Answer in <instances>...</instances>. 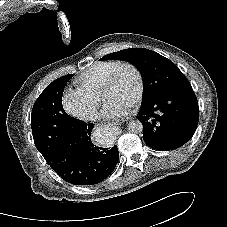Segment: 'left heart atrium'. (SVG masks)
<instances>
[{"mask_svg":"<svg viewBox=\"0 0 227 227\" xmlns=\"http://www.w3.org/2000/svg\"><path fill=\"white\" fill-rule=\"evenodd\" d=\"M132 107V103L124 101H107L103 108V116L108 120H117L127 115Z\"/></svg>","mask_w":227,"mask_h":227,"instance_id":"39dd6f15","label":"left heart atrium"}]
</instances>
